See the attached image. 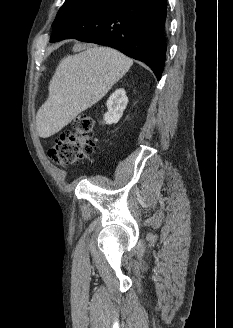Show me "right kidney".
<instances>
[{
    "label": "right kidney",
    "mask_w": 233,
    "mask_h": 328,
    "mask_svg": "<svg viewBox=\"0 0 233 328\" xmlns=\"http://www.w3.org/2000/svg\"><path fill=\"white\" fill-rule=\"evenodd\" d=\"M128 103V97L124 89H117L107 100L108 112L104 114L106 124L117 123L123 115Z\"/></svg>",
    "instance_id": "1"
}]
</instances>
